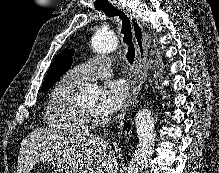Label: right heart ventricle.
<instances>
[{"label": "right heart ventricle", "mask_w": 219, "mask_h": 173, "mask_svg": "<svg viewBox=\"0 0 219 173\" xmlns=\"http://www.w3.org/2000/svg\"><path fill=\"white\" fill-rule=\"evenodd\" d=\"M81 86L65 76L51 90L45 108L46 123L51 129L65 133L86 130L87 120L79 114L76 103Z\"/></svg>", "instance_id": "obj_1"}]
</instances>
